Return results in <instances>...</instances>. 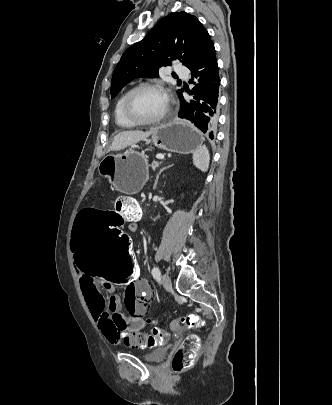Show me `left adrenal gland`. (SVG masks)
Segmentation results:
<instances>
[{
	"label": "left adrenal gland",
	"instance_id": "left-adrenal-gland-1",
	"mask_svg": "<svg viewBox=\"0 0 332 405\" xmlns=\"http://www.w3.org/2000/svg\"><path fill=\"white\" fill-rule=\"evenodd\" d=\"M172 166H173V164H172V165H169V166H167V167H164V168H162V169L159 171V173H158L157 176H156V180H155V184H154V189H155L156 186H157V183H158V179H159L160 174H161L164 170H166V169H168V168H170V167H172Z\"/></svg>",
	"mask_w": 332,
	"mask_h": 405
}]
</instances>
